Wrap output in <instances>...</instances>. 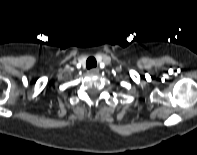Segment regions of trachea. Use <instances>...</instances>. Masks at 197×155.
I'll use <instances>...</instances> for the list:
<instances>
[{
	"instance_id": "obj_1",
	"label": "trachea",
	"mask_w": 197,
	"mask_h": 155,
	"mask_svg": "<svg viewBox=\"0 0 197 155\" xmlns=\"http://www.w3.org/2000/svg\"><path fill=\"white\" fill-rule=\"evenodd\" d=\"M97 63L96 60L94 58H89L86 62V66L88 69L92 68V67H96Z\"/></svg>"
}]
</instances>
